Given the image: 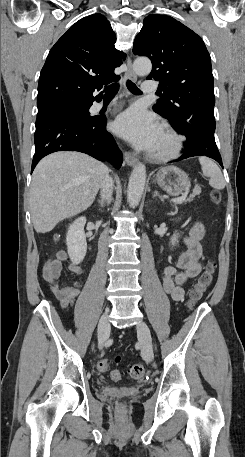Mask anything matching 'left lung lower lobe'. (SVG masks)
Listing matches in <instances>:
<instances>
[{"instance_id":"1","label":"left lung lower lobe","mask_w":245,"mask_h":457,"mask_svg":"<svg viewBox=\"0 0 245 457\" xmlns=\"http://www.w3.org/2000/svg\"><path fill=\"white\" fill-rule=\"evenodd\" d=\"M180 122H174L172 127L186 136L184 154L174 160L180 161L193 156H207L215 159L223 167L221 155L215 143L214 112L203 111L184 116Z\"/></svg>"}]
</instances>
